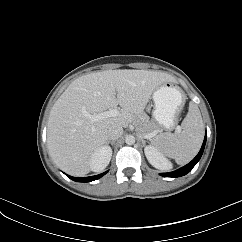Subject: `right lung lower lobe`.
<instances>
[{"label":"right lung lower lobe","mask_w":242,"mask_h":242,"mask_svg":"<svg viewBox=\"0 0 242 242\" xmlns=\"http://www.w3.org/2000/svg\"><path fill=\"white\" fill-rule=\"evenodd\" d=\"M106 173H107V171L102 173V174H99V175L90 176V177H83V178H81V177H72V176H69V175H67V176L70 179H72V180H74L76 182H90V181H94V180H97V179L101 178Z\"/></svg>","instance_id":"1"}]
</instances>
